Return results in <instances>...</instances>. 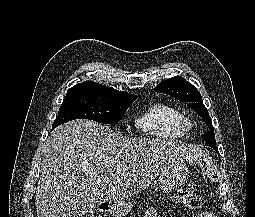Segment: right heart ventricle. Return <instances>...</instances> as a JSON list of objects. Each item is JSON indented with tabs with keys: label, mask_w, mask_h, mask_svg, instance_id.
<instances>
[{
	"label": "right heart ventricle",
	"mask_w": 255,
	"mask_h": 217,
	"mask_svg": "<svg viewBox=\"0 0 255 217\" xmlns=\"http://www.w3.org/2000/svg\"><path fill=\"white\" fill-rule=\"evenodd\" d=\"M136 127L146 135L163 139L184 136L182 114L173 106L155 103L148 107L137 119Z\"/></svg>",
	"instance_id": "right-heart-ventricle-1"
}]
</instances>
